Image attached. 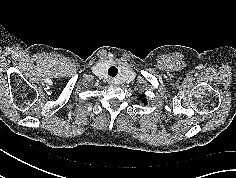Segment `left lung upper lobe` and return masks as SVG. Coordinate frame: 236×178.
I'll return each instance as SVG.
<instances>
[{
	"instance_id": "left-lung-upper-lobe-1",
	"label": "left lung upper lobe",
	"mask_w": 236,
	"mask_h": 178,
	"mask_svg": "<svg viewBox=\"0 0 236 178\" xmlns=\"http://www.w3.org/2000/svg\"><path fill=\"white\" fill-rule=\"evenodd\" d=\"M144 96L142 95L141 97H140V99H142ZM142 102H146V99L144 98L143 100H142Z\"/></svg>"
}]
</instances>
